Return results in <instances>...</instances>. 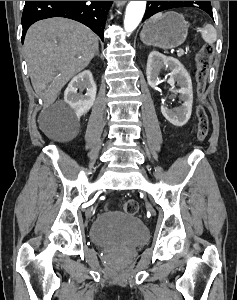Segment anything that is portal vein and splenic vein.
<instances>
[{
	"instance_id": "portal-vein-and-splenic-vein-1",
	"label": "portal vein and splenic vein",
	"mask_w": 237,
	"mask_h": 300,
	"mask_svg": "<svg viewBox=\"0 0 237 300\" xmlns=\"http://www.w3.org/2000/svg\"><path fill=\"white\" fill-rule=\"evenodd\" d=\"M178 50L180 51L179 55L181 57H183L184 56V50L181 47Z\"/></svg>"
}]
</instances>
